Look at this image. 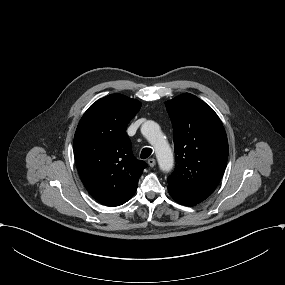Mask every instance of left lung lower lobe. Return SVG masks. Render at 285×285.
Instances as JSON below:
<instances>
[{
	"label": "left lung lower lobe",
	"instance_id": "left-lung-lower-lobe-1",
	"mask_svg": "<svg viewBox=\"0 0 285 285\" xmlns=\"http://www.w3.org/2000/svg\"><path fill=\"white\" fill-rule=\"evenodd\" d=\"M171 196L173 197V199H174L176 202H178V203H180V204L187 205V206H193V205H195V203L189 202V201H187V200L179 199V198H177V197H175V196H173V195H171Z\"/></svg>",
	"mask_w": 285,
	"mask_h": 285
}]
</instances>
